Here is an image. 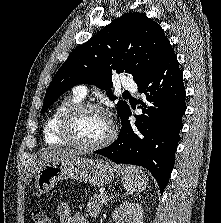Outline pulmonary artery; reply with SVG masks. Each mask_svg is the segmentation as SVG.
I'll return each instance as SVG.
<instances>
[{
	"instance_id": "pulmonary-artery-1",
	"label": "pulmonary artery",
	"mask_w": 221,
	"mask_h": 223,
	"mask_svg": "<svg viewBox=\"0 0 221 223\" xmlns=\"http://www.w3.org/2000/svg\"><path fill=\"white\" fill-rule=\"evenodd\" d=\"M121 83L123 88L136 91V83L133 79L124 78ZM74 91L83 98L87 96V87L85 85H77Z\"/></svg>"
}]
</instances>
